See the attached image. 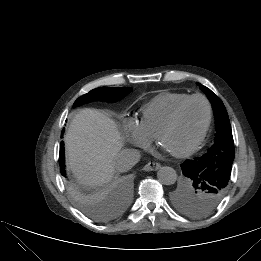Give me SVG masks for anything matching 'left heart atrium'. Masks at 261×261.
I'll return each instance as SVG.
<instances>
[{
	"label": "left heart atrium",
	"mask_w": 261,
	"mask_h": 261,
	"mask_svg": "<svg viewBox=\"0 0 261 261\" xmlns=\"http://www.w3.org/2000/svg\"><path fill=\"white\" fill-rule=\"evenodd\" d=\"M160 152H171L168 148L161 146Z\"/></svg>",
	"instance_id": "left-heart-atrium-1"
}]
</instances>
